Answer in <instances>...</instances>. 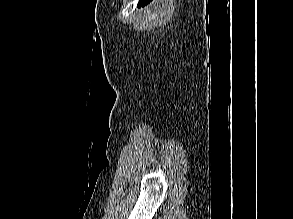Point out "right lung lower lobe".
Masks as SVG:
<instances>
[{
    "label": "right lung lower lobe",
    "mask_w": 293,
    "mask_h": 219,
    "mask_svg": "<svg viewBox=\"0 0 293 219\" xmlns=\"http://www.w3.org/2000/svg\"><path fill=\"white\" fill-rule=\"evenodd\" d=\"M151 0H140L138 3V7H144L146 4H148Z\"/></svg>",
    "instance_id": "98d812e1"
}]
</instances>
